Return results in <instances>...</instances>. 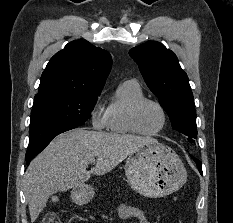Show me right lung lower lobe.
<instances>
[{
    "mask_svg": "<svg viewBox=\"0 0 233 223\" xmlns=\"http://www.w3.org/2000/svg\"><path fill=\"white\" fill-rule=\"evenodd\" d=\"M37 154H32L26 157V163L29 165L30 161L36 156Z\"/></svg>",
    "mask_w": 233,
    "mask_h": 223,
    "instance_id": "obj_1",
    "label": "right lung lower lobe"
}]
</instances>
